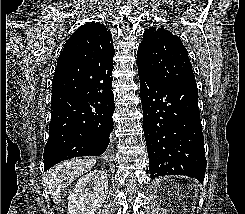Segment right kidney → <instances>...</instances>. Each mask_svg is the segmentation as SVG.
Returning a JSON list of instances; mask_svg holds the SVG:
<instances>
[{
  "label": "right kidney",
  "instance_id": "1",
  "mask_svg": "<svg viewBox=\"0 0 245 214\" xmlns=\"http://www.w3.org/2000/svg\"><path fill=\"white\" fill-rule=\"evenodd\" d=\"M108 178L103 170L82 176L68 196V214H95L106 199Z\"/></svg>",
  "mask_w": 245,
  "mask_h": 214
}]
</instances>
